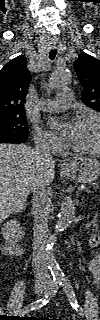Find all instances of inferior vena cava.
<instances>
[{
	"label": "inferior vena cava",
	"instance_id": "obj_1",
	"mask_svg": "<svg viewBox=\"0 0 100 320\" xmlns=\"http://www.w3.org/2000/svg\"><path fill=\"white\" fill-rule=\"evenodd\" d=\"M34 151L41 159L45 161L52 160V154L44 141L37 142ZM32 191L34 215L32 266L36 282H48L50 275L48 272L45 248L48 237V216L52 203L43 182H36L32 187Z\"/></svg>",
	"mask_w": 100,
	"mask_h": 320
}]
</instances>
